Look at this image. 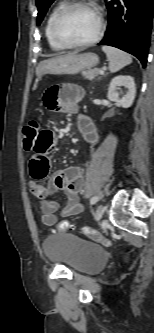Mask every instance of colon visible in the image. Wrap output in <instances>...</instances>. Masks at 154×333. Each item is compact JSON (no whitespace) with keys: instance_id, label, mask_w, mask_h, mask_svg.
I'll return each mask as SVG.
<instances>
[{"instance_id":"5ec220e1","label":"colon","mask_w":154,"mask_h":333,"mask_svg":"<svg viewBox=\"0 0 154 333\" xmlns=\"http://www.w3.org/2000/svg\"><path fill=\"white\" fill-rule=\"evenodd\" d=\"M40 130V123L37 119L30 120L23 128V146L26 150H32L35 144V139L38 131ZM71 227L68 221H62L58 225L59 231H64ZM85 233L92 239L101 242L104 245H109L110 242L98 231L90 228H85Z\"/></svg>"}]
</instances>
